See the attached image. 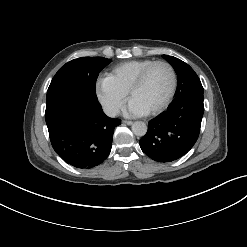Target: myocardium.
I'll use <instances>...</instances> for the list:
<instances>
[{"mask_svg": "<svg viewBox=\"0 0 247 247\" xmlns=\"http://www.w3.org/2000/svg\"><path fill=\"white\" fill-rule=\"evenodd\" d=\"M158 65H164V66L168 67V69L171 72V76H172V84H171L170 91H169L167 97L165 98V100L158 107H156L155 109L147 112V114H149V115H155V114H158V113L162 112L163 110H165L167 108V106L170 104V102L173 99V97H174V94H175L176 89H177L178 78H177L176 70L173 67V65L171 63H169L168 61H165V60L154 61L152 64L147 66L144 70H142V72L133 81V83L131 84V86H130V88L128 90L129 97H131L132 93L137 88L142 86V84L145 82V80H146L148 74L150 73V71L154 67H156Z\"/></svg>", "mask_w": 247, "mask_h": 247, "instance_id": "obj_1", "label": "myocardium"}]
</instances>
